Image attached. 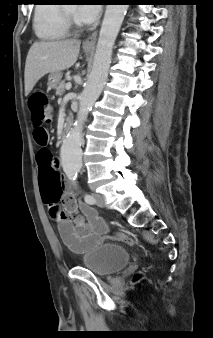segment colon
I'll use <instances>...</instances> for the list:
<instances>
[{"label": "colon", "instance_id": "1", "mask_svg": "<svg viewBox=\"0 0 213 338\" xmlns=\"http://www.w3.org/2000/svg\"><path fill=\"white\" fill-rule=\"evenodd\" d=\"M29 109L31 111V121L35 128L34 140L36 144L45 148L50 142V135L47 129L43 126L45 123H49L53 119V108L49 104L47 95L43 91L33 93L29 97L28 101ZM39 158L45 160V154L42 151L39 152ZM43 179L47 183H51V175L48 168L43 169ZM52 214L56 217V221H60V207L58 204H54L51 207ZM67 219H74L73 215H66ZM114 240L126 245H132L134 240L128 236H115Z\"/></svg>", "mask_w": 213, "mask_h": 338}]
</instances>
